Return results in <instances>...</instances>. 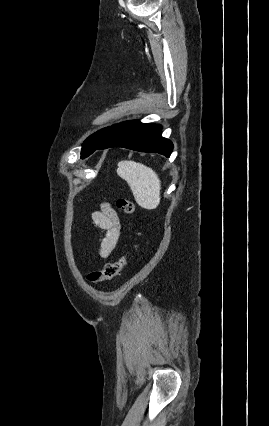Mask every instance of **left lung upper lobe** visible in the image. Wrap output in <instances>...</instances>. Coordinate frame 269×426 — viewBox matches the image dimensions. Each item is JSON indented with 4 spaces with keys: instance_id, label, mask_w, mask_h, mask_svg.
<instances>
[{
    "instance_id": "5c2ea615",
    "label": "left lung upper lobe",
    "mask_w": 269,
    "mask_h": 426,
    "mask_svg": "<svg viewBox=\"0 0 269 426\" xmlns=\"http://www.w3.org/2000/svg\"><path fill=\"white\" fill-rule=\"evenodd\" d=\"M109 129L110 127L103 128L92 134L84 141L81 150V158H86L92 153V151L103 141Z\"/></svg>"
}]
</instances>
